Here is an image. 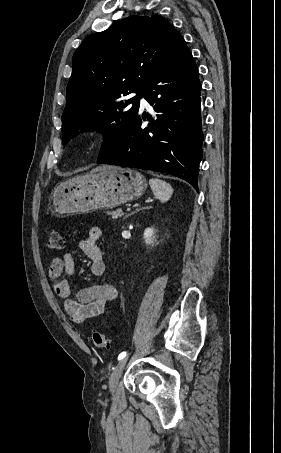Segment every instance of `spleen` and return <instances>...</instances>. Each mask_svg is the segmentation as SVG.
<instances>
[{
	"label": "spleen",
	"mask_w": 281,
	"mask_h": 453,
	"mask_svg": "<svg viewBox=\"0 0 281 453\" xmlns=\"http://www.w3.org/2000/svg\"><path fill=\"white\" fill-rule=\"evenodd\" d=\"M149 184L152 188V192L156 198L162 200V202H166L169 200L173 194V188L169 182H165V180H160V178H150Z\"/></svg>",
	"instance_id": "1"
}]
</instances>
